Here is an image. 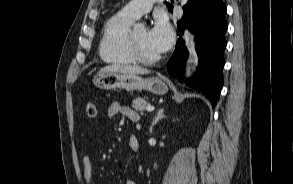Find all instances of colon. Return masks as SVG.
Instances as JSON below:
<instances>
[{
  "label": "colon",
  "mask_w": 293,
  "mask_h": 184,
  "mask_svg": "<svg viewBox=\"0 0 293 184\" xmlns=\"http://www.w3.org/2000/svg\"><path fill=\"white\" fill-rule=\"evenodd\" d=\"M86 115L91 119L96 117L97 107L94 102L90 101L86 104Z\"/></svg>",
  "instance_id": "colon-1"
}]
</instances>
